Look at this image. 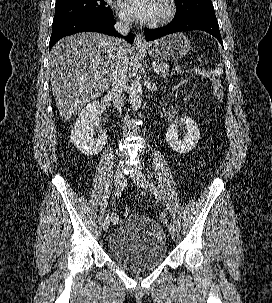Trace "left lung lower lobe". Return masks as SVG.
Instances as JSON below:
<instances>
[{
	"mask_svg": "<svg viewBox=\"0 0 272 303\" xmlns=\"http://www.w3.org/2000/svg\"><path fill=\"white\" fill-rule=\"evenodd\" d=\"M191 30H202L212 34L223 46L218 21L216 16L190 17L174 19L170 24L158 29H145L144 34L147 41L158 39L162 36Z\"/></svg>",
	"mask_w": 272,
	"mask_h": 303,
	"instance_id": "obj_1",
	"label": "left lung lower lobe"
}]
</instances>
